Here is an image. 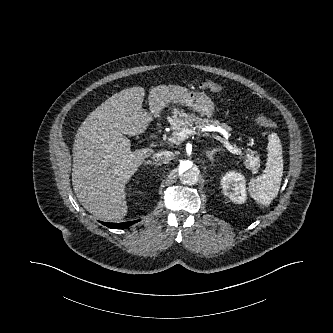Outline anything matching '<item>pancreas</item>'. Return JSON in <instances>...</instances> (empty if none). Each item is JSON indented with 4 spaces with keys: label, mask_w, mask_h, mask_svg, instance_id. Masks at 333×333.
<instances>
[{
    "label": "pancreas",
    "mask_w": 333,
    "mask_h": 333,
    "mask_svg": "<svg viewBox=\"0 0 333 333\" xmlns=\"http://www.w3.org/2000/svg\"><path fill=\"white\" fill-rule=\"evenodd\" d=\"M173 116L169 119L171 128L173 130V136L177 137L176 134L181 132L183 129H202L208 126H220L227 132H230L232 129L225 123H220L218 121H209L208 119L199 118L193 114H187L180 112L177 109L173 111ZM183 139H181L182 141ZM249 151L246 159V167L250 169L253 173L257 172L260 167V160L257 152Z\"/></svg>",
    "instance_id": "cf45deb5"
}]
</instances>
